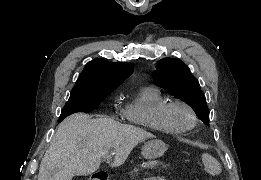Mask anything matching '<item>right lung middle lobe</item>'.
Instances as JSON below:
<instances>
[{
  "label": "right lung middle lobe",
  "instance_id": "obj_1",
  "mask_svg": "<svg viewBox=\"0 0 261 180\" xmlns=\"http://www.w3.org/2000/svg\"><path fill=\"white\" fill-rule=\"evenodd\" d=\"M108 94L71 92L68 102L65 104L58 123L68 115L76 112H91L103 101Z\"/></svg>",
  "mask_w": 261,
  "mask_h": 180
}]
</instances>
